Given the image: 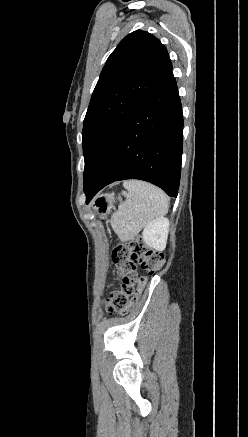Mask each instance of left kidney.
<instances>
[{
    "mask_svg": "<svg viewBox=\"0 0 248 437\" xmlns=\"http://www.w3.org/2000/svg\"><path fill=\"white\" fill-rule=\"evenodd\" d=\"M169 220L167 218H156L143 230V241L150 247L157 251H163L166 247L168 232H169Z\"/></svg>",
    "mask_w": 248,
    "mask_h": 437,
    "instance_id": "1",
    "label": "left kidney"
}]
</instances>
